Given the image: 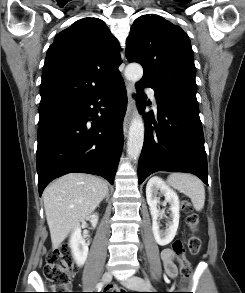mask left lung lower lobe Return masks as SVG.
Masks as SVG:
<instances>
[{
  "label": "left lung lower lobe",
  "mask_w": 245,
  "mask_h": 293,
  "mask_svg": "<svg viewBox=\"0 0 245 293\" xmlns=\"http://www.w3.org/2000/svg\"><path fill=\"white\" fill-rule=\"evenodd\" d=\"M144 86L151 87L142 82L136 85L137 92L143 97ZM155 97L158 125L153 113L148 112L145 115V138L138 164L139 183L154 172L169 171L195 174L208 185L207 159L198 106L181 99L160 96L156 92ZM141 107L143 113L145 105L142 104Z\"/></svg>",
  "instance_id": "0a47b994"
}]
</instances>
